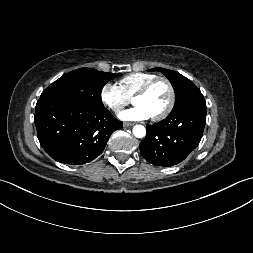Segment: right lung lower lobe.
Listing matches in <instances>:
<instances>
[{
	"instance_id": "1",
	"label": "right lung lower lobe",
	"mask_w": 253,
	"mask_h": 253,
	"mask_svg": "<svg viewBox=\"0 0 253 253\" xmlns=\"http://www.w3.org/2000/svg\"><path fill=\"white\" fill-rule=\"evenodd\" d=\"M34 122L43 149L54 160L74 165L97 158L111 134L123 127L105 107L50 98L38 100Z\"/></svg>"
}]
</instances>
